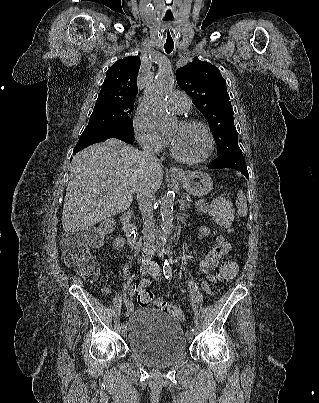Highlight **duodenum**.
<instances>
[{
  "instance_id": "obj_1",
  "label": "duodenum",
  "mask_w": 319,
  "mask_h": 403,
  "mask_svg": "<svg viewBox=\"0 0 319 403\" xmlns=\"http://www.w3.org/2000/svg\"><path fill=\"white\" fill-rule=\"evenodd\" d=\"M122 228L128 238V242L133 249L140 248V241L137 237V229L132 224V211L126 210L121 216Z\"/></svg>"
}]
</instances>
